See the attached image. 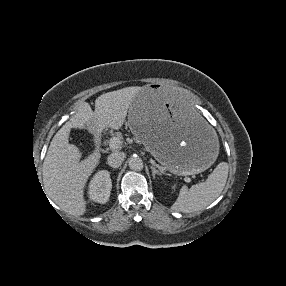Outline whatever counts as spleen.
<instances>
[{
  "instance_id": "1",
  "label": "spleen",
  "mask_w": 286,
  "mask_h": 286,
  "mask_svg": "<svg viewBox=\"0 0 286 286\" xmlns=\"http://www.w3.org/2000/svg\"><path fill=\"white\" fill-rule=\"evenodd\" d=\"M229 165L221 162L206 181L188 188L182 186L179 196L171 209L182 213L199 211L211 204L223 191L228 178Z\"/></svg>"
}]
</instances>
